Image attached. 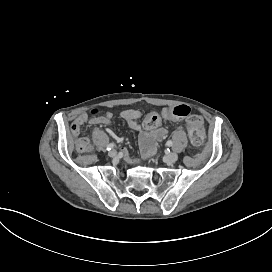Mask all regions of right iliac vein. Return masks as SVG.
<instances>
[{
  "mask_svg": "<svg viewBox=\"0 0 272 272\" xmlns=\"http://www.w3.org/2000/svg\"><path fill=\"white\" fill-rule=\"evenodd\" d=\"M108 155H109L110 157H115V156L117 155V152H116L115 150H111V151L108 153Z\"/></svg>",
  "mask_w": 272,
  "mask_h": 272,
  "instance_id": "right-iliac-vein-1",
  "label": "right iliac vein"
}]
</instances>
